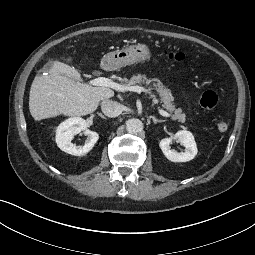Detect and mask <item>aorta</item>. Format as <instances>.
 Returning <instances> with one entry per match:
<instances>
[{"label":"aorta","instance_id":"aorta-1","mask_svg":"<svg viewBox=\"0 0 255 255\" xmlns=\"http://www.w3.org/2000/svg\"><path fill=\"white\" fill-rule=\"evenodd\" d=\"M126 129L130 134H137L143 130V123L137 118L129 119L126 122Z\"/></svg>","mask_w":255,"mask_h":255}]
</instances>
